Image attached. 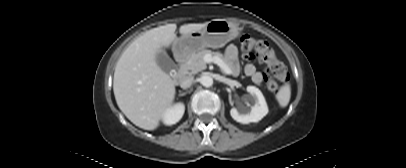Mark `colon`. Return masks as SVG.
<instances>
[{
	"instance_id": "colon-1",
	"label": "colon",
	"mask_w": 406,
	"mask_h": 168,
	"mask_svg": "<svg viewBox=\"0 0 406 168\" xmlns=\"http://www.w3.org/2000/svg\"><path fill=\"white\" fill-rule=\"evenodd\" d=\"M240 48L244 59L248 61L258 60L266 65L264 73L266 86L271 92H278L286 79L287 73L285 67L277 60L274 51L268 43L249 35H244L241 38Z\"/></svg>"
}]
</instances>
